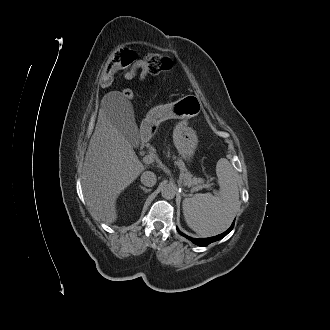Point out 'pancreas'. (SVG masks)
Returning <instances> with one entry per match:
<instances>
[{
  "label": "pancreas",
  "mask_w": 330,
  "mask_h": 330,
  "mask_svg": "<svg viewBox=\"0 0 330 330\" xmlns=\"http://www.w3.org/2000/svg\"><path fill=\"white\" fill-rule=\"evenodd\" d=\"M167 157H170V152L167 151ZM173 159H176L175 156H173ZM176 165L180 169V180L183 182L185 186L188 187H196L199 186L198 184H202L204 180L202 178H195L192 176V174L187 170L185 163L181 159H177Z\"/></svg>",
  "instance_id": "obj_1"
}]
</instances>
